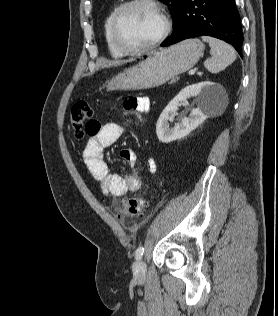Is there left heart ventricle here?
<instances>
[{"label": "left heart ventricle", "mask_w": 278, "mask_h": 316, "mask_svg": "<svg viewBox=\"0 0 278 316\" xmlns=\"http://www.w3.org/2000/svg\"><path fill=\"white\" fill-rule=\"evenodd\" d=\"M162 22L157 12L146 4L131 7L123 15L119 25L122 41L131 48L151 43L160 34Z\"/></svg>", "instance_id": "1"}]
</instances>
